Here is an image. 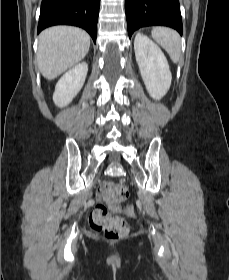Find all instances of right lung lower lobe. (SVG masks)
<instances>
[{
    "label": "right lung lower lobe",
    "instance_id": "98d812e1",
    "mask_svg": "<svg viewBox=\"0 0 229 280\" xmlns=\"http://www.w3.org/2000/svg\"><path fill=\"white\" fill-rule=\"evenodd\" d=\"M100 0H42L38 33L53 25L85 29L96 42Z\"/></svg>",
    "mask_w": 229,
    "mask_h": 280
}]
</instances>
